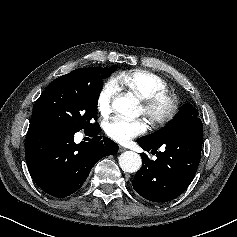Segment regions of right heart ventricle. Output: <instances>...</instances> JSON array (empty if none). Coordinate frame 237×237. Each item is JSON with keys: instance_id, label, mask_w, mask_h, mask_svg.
Instances as JSON below:
<instances>
[{"instance_id": "right-heart-ventricle-1", "label": "right heart ventricle", "mask_w": 237, "mask_h": 237, "mask_svg": "<svg viewBox=\"0 0 237 237\" xmlns=\"http://www.w3.org/2000/svg\"><path fill=\"white\" fill-rule=\"evenodd\" d=\"M113 81L119 88L126 89L139 99L168 91V84L162 77L146 70L122 72Z\"/></svg>"}]
</instances>
